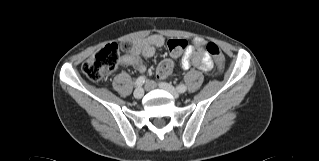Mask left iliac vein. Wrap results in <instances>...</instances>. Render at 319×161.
Returning <instances> with one entry per match:
<instances>
[{"label": "left iliac vein", "mask_w": 319, "mask_h": 161, "mask_svg": "<svg viewBox=\"0 0 319 161\" xmlns=\"http://www.w3.org/2000/svg\"><path fill=\"white\" fill-rule=\"evenodd\" d=\"M159 87L169 92L174 98H178L180 95L179 92L173 86H171L170 84L166 82H160Z\"/></svg>", "instance_id": "left-iliac-vein-1"}]
</instances>
